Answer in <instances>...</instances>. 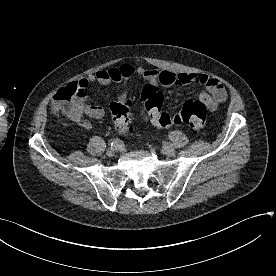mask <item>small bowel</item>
<instances>
[{"instance_id": "obj_1", "label": "small bowel", "mask_w": 276, "mask_h": 276, "mask_svg": "<svg viewBox=\"0 0 276 276\" xmlns=\"http://www.w3.org/2000/svg\"><path fill=\"white\" fill-rule=\"evenodd\" d=\"M137 74L144 80L159 83L162 86L202 85L206 91L199 95V100L210 110H216L226 97L227 92L222 83L214 76L196 73H174L166 70L135 67L130 63H122L119 66L97 70L94 74L80 79L77 83L82 89V95L75 101L76 113L68 117L73 123L84 129H91L92 124L85 117L101 119L105 115V109L99 105H89L85 102L86 89L90 84L99 83L109 85L113 82H126L131 76ZM127 99V91L124 90L118 101ZM55 107V104H54Z\"/></svg>"}]
</instances>
